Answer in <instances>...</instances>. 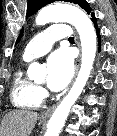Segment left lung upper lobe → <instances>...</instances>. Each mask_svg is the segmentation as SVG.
<instances>
[{"label":"left lung upper lobe","mask_w":117,"mask_h":136,"mask_svg":"<svg viewBox=\"0 0 117 136\" xmlns=\"http://www.w3.org/2000/svg\"><path fill=\"white\" fill-rule=\"evenodd\" d=\"M55 0H28L27 2V17L33 15L34 13H36L40 8H42L43 6L54 2ZM67 2H71L74 4L79 5L82 9H84L88 14L93 13L91 11V7L89 6V4L86 2V0H65ZM23 33V29L18 37L17 43L19 42V40L21 39Z\"/></svg>","instance_id":"1"}]
</instances>
